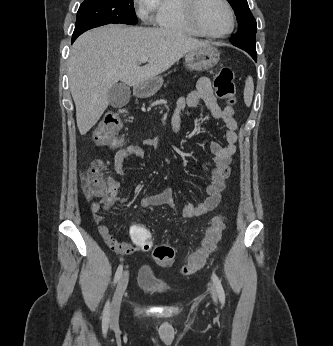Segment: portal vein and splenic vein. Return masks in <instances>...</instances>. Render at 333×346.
<instances>
[{"instance_id":"obj_1","label":"portal vein and splenic vein","mask_w":333,"mask_h":346,"mask_svg":"<svg viewBox=\"0 0 333 346\" xmlns=\"http://www.w3.org/2000/svg\"><path fill=\"white\" fill-rule=\"evenodd\" d=\"M148 61V58L144 57L140 60V63H146Z\"/></svg>"}]
</instances>
